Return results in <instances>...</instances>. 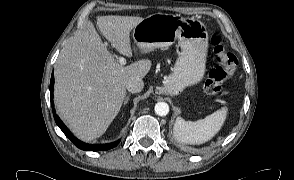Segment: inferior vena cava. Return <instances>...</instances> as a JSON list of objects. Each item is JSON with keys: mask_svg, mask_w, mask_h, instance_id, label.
<instances>
[{"mask_svg": "<svg viewBox=\"0 0 294 180\" xmlns=\"http://www.w3.org/2000/svg\"><path fill=\"white\" fill-rule=\"evenodd\" d=\"M143 87L144 83L142 79L139 78L130 79L126 84V89L131 93H138L142 91Z\"/></svg>", "mask_w": 294, "mask_h": 180, "instance_id": "1", "label": "inferior vena cava"}]
</instances>
